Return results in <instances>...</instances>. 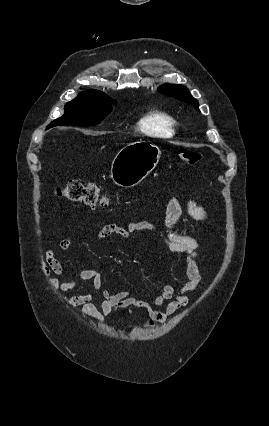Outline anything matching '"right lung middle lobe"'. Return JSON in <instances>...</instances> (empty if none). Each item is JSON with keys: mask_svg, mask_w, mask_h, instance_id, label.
<instances>
[{"mask_svg": "<svg viewBox=\"0 0 269 426\" xmlns=\"http://www.w3.org/2000/svg\"><path fill=\"white\" fill-rule=\"evenodd\" d=\"M111 99L77 97L65 106V114L51 123L61 125H96L112 110Z\"/></svg>", "mask_w": 269, "mask_h": 426, "instance_id": "dd1d6c3e", "label": "right lung middle lobe"}]
</instances>
